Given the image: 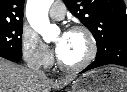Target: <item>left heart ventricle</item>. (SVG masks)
<instances>
[{"label": "left heart ventricle", "instance_id": "obj_1", "mask_svg": "<svg viewBox=\"0 0 127 92\" xmlns=\"http://www.w3.org/2000/svg\"><path fill=\"white\" fill-rule=\"evenodd\" d=\"M62 35H57L58 42ZM89 49L88 41L83 33H67L65 45L59 58L66 64L74 65L81 62L87 55Z\"/></svg>", "mask_w": 127, "mask_h": 92}]
</instances>
